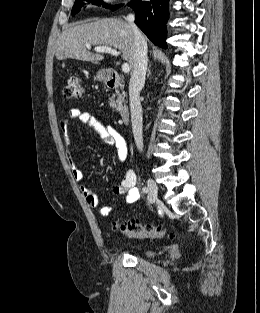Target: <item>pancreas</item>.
Instances as JSON below:
<instances>
[{
    "label": "pancreas",
    "instance_id": "cf45deb5",
    "mask_svg": "<svg viewBox=\"0 0 260 313\" xmlns=\"http://www.w3.org/2000/svg\"><path fill=\"white\" fill-rule=\"evenodd\" d=\"M125 93L116 92L112 95L109 101L110 107L115 110H120L123 107Z\"/></svg>",
    "mask_w": 260,
    "mask_h": 313
}]
</instances>
